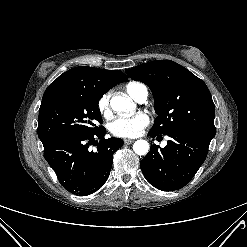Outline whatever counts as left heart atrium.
Here are the masks:
<instances>
[{
    "instance_id": "1",
    "label": "left heart atrium",
    "mask_w": 247,
    "mask_h": 247,
    "mask_svg": "<svg viewBox=\"0 0 247 247\" xmlns=\"http://www.w3.org/2000/svg\"><path fill=\"white\" fill-rule=\"evenodd\" d=\"M150 123V118L143 112L130 116H119L109 124L110 132L118 137H136Z\"/></svg>"
}]
</instances>
